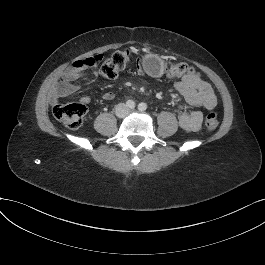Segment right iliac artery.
<instances>
[{"label":"right iliac artery","instance_id":"82829eb1","mask_svg":"<svg viewBox=\"0 0 265 265\" xmlns=\"http://www.w3.org/2000/svg\"><path fill=\"white\" fill-rule=\"evenodd\" d=\"M126 106L131 108V109H134L135 108V102L133 100H127Z\"/></svg>","mask_w":265,"mask_h":265}]
</instances>
